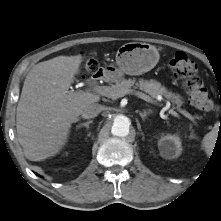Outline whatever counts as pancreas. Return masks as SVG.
<instances>
[{"mask_svg": "<svg viewBox=\"0 0 221 221\" xmlns=\"http://www.w3.org/2000/svg\"><path fill=\"white\" fill-rule=\"evenodd\" d=\"M132 86H135V88H139L140 90L146 92L152 98H157V96L162 95L168 99H171V101L178 106H181L183 104L180 95L168 92L167 89L161 85V83L153 79L144 80L143 78H140L138 82H136L135 78H129L128 80L122 79L121 81H118L115 85H111L110 88L114 93H119L122 90L130 89Z\"/></svg>", "mask_w": 221, "mask_h": 221, "instance_id": "1", "label": "pancreas"}]
</instances>
